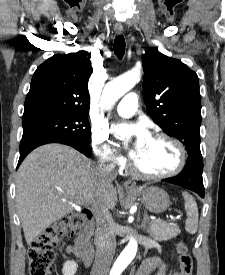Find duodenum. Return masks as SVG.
Listing matches in <instances>:
<instances>
[{
    "label": "duodenum",
    "mask_w": 225,
    "mask_h": 275,
    "mask_svg": "<svg viewBox=\"0 0 225 275\" xmlns=\"http://www.w3.org/2000/svg\"><path fill=\"white\" fill-rule=\"evenodd\" d=\"M93 234V224L90 221L84 228L77 234L74 242L76 255L84 262L86 267L92 263L94 251L90 244V238Z\"/></svg>",
    "instance_id": "obj_1"
}]
</instances>
